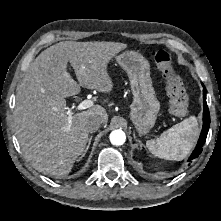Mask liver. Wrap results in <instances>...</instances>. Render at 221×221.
Instances as JSON below:
<instances>
[{
    "instance_id": "liver-1",
    "label": "liver",
    "mask_w": 221,
    "mask_h": 221,
    "mask_svg": "<svg viewBox=\"0 0 221 221\" xmlns=\"http://www.w3.org/2000/svg\"><path fill=\"white\" fill-rule=\"evenodd\" d=\"M127 44L117 42H59L42 51L32 62L16 89L14 129L25 158L39 172L68 174L89 141L87 120L108 115L101 105L68 115L65 98L80 93V86L110 93L107 67ZM70 63L77 83L67 71Z\"/></svg>"
}]
</instances>
